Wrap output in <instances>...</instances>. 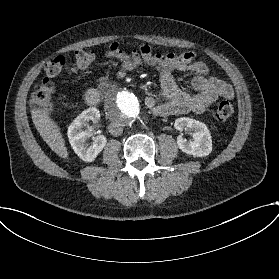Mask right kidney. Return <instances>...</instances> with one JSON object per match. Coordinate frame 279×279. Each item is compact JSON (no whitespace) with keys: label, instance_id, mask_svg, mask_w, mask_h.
Returning <instances> with one entry per match:
<instances>
[{"label":"right kidney","instance_id":"ca27d5eb","mask_svg":"<svg viewBox=\"0 0 279 279\" xmlns=\"http://www.w3.org/2000/svg\"><path fill=\"white\" fill-rule=\"evenodd\" d=\"M100 113L95 108H89L81 113L69 126L68 138L72 149L80 159L86 162L94 161L105 148L107 139L104 135H98L93 139V144L86 147V139L90 136L83 127L90 121H97Z\"/></svg>","mask_w":279,"mask_h":279}]
</instances>
